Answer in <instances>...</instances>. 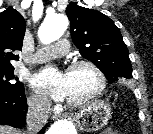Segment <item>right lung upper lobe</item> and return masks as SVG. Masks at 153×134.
<instances>
[{
  "mask_svg": "<svg viewBox=\"0 0 153 134\" xmlns=\"http://www.w3.org/2000/svg\"><path fill=\"white\" fill-rule=\"evenodd\" d=\"M25 29V20L17 10L9 7L0 13V68L19 60L14 51L22 49Z\"/></svg>",
  "mask_w": 153,
  "mask_h": 134,
  "instance_id": "1",
  "label": "right lung upper lobe"
}]
</instances>
